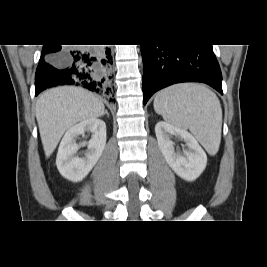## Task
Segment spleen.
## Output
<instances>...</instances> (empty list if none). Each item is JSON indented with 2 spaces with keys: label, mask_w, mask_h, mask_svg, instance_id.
<instances>
[{
  "label": "spleen",
  "mask_w": 267,
  "mask_h": 267,
  "mask_svg": "<svg viewBox=\"0 0 267 267\" xmlns=\"http://www.w3.org/2000/svg\"><path fill=\"white\" fill-rule=\"evenodd\" d=\"M154 109L172 125L189 129L210 155L218 152L222 109L210 89L197 83L173 85L156 94Z\"/></svg>",
  "instance_id": "spleen-1"
}]
</instances>
